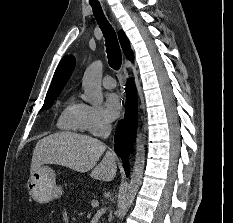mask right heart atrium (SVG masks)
I'll return each instance as SVG.
<instances>
[{"label": "right heart atrium", "mask_w": 233, "mask_h": 223, "mask_svg": "<svg viewBox=\"0 0 233 223\" xmlns=\"http://www.w3.org/2000/svg\"><path fill=\"white\" fill-rule=\"evenodd\" d=\"M111 127V122L101 107L84 104L82 114L83 130L93 135H101L110 131Z\"/></svg>", "instance_id": "d8ad5b80"}]
</instances>
